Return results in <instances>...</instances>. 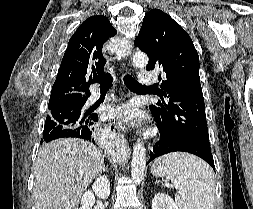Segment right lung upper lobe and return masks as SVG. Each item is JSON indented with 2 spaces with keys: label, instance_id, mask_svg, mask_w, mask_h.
Instances as JSON below:
<instances>
[{
  "label": "right lung upper lobe",
  "instance_id": "obj_1",
  "mask_svg": "<svg viewBox=\"0 0 253 209\" xmlns=\"http://www.w3.org/2000/svg\"><path fill=\"white\" fill-rule=\"evenodd\" d=\"M117 31L108 18L86 19L70 38L49 100V110L86 103L92 77L104 73L103 44Z\"/></svg>",
  "mask_w": 253,
  "mask_h": 209
}]
</instances>
